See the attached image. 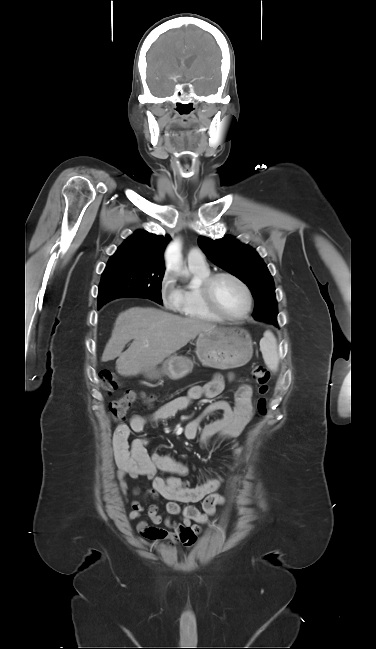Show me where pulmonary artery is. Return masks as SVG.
Wrapping results in <instances>:
<instances>
[{"label": "pulmonary artery", "mask_w": 376, "mask_h": 649, "mask_svg": "<svg viewBox=\"0 0 376 649\" xmlns=\"http://www.w3.org/2000/svg\"><path fill=\"white\" fill-rule=\"evenodd\" d=\"M187 260L190 265H207L204 254L196 247L189 250Z\"/></svg>", "instance_id": "obj_1"}]
</instances>
